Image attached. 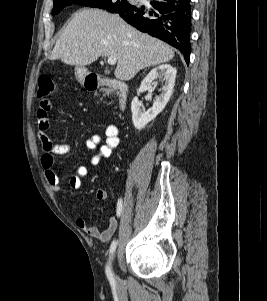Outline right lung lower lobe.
<instances>
[{
    "label": "right lung lower lobe",
    "mask_w": 267,
    "mask_h": 301,
    "mask_svg": "<svg viewBox=\"0 0 267 301\" xmlns=\"http://www.w3.org/2000/svg\"><path fill=\"white\" fill-rule=\"evenodd\" d=\"M138 30L179 49L186 63L191 52L190 0H149L146 6H132L118 13Z\"/></svg>",
    "instance_id": "1"
}]
</instances>
